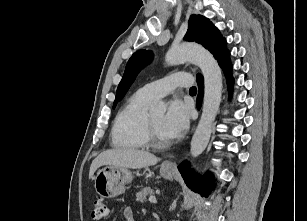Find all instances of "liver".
<instances>
[{"instance_id": "liver-1", "label": "liver", "mask_w": 307, "mask_h": 221, "mask_svg": "<svg viewBox=\"0 0 307 221\" xmlns=\"http://www.w3.org/2000/svg\"><path fill=\"white\" fill-rule=\"evenodd\" d=\"M158 158L143 150L133 148H116L106 150L99 154L90 166L89 179L93 178L95 171L103 165H110L119 168L140 169L155 165Z\"/></svg>"}]
</instances>
